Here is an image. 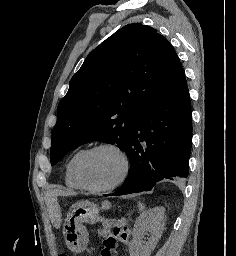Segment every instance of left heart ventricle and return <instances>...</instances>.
Wrapping results in <instances>:
<instances>
[{
    "label": "left heart ventricle",
    "instance_id": "obj_1",
    "mask_svg": "<svg viewBox=\"0 0 236 256\" xmlns=\"http://www.w3.org/2000/svg\"><path fill=\"white\" fill-rule=\"evenodd\" d=\"M122 171V161L117 152L104 149L89 155L84 162L83 175L88 185L104 187L114 183Z\"/></svg>",
    "mask_w": 236,
    "mask_h": 256
}]
</instances>
